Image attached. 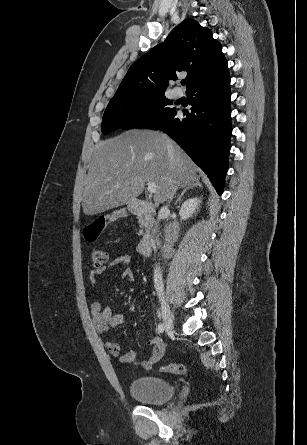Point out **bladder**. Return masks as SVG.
Listing matches in <instances>:
<instances>
[{
	"instance_id": "obj_1",
	"label": "bladder",
	"mask_w": 307,
	"mask_h": 445,
	"mask_svg": "<svg viewBox=\"0 0 307 445\" xmlns=\"http://www.w3.org/2000/svg\"><path fill=\"white\" fill-rule=\"evenodd\" d=\"M129 390L133 398L150 405L165 403L175 393V387L171 382L156 376H141L133 379Z\"/></svg>"
}]
</instances>
